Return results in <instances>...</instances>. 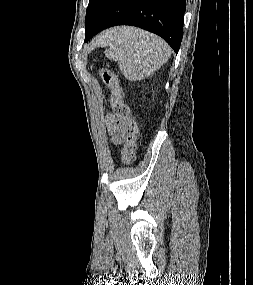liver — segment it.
Returning a JSON list of instances; mask_svg holds the SVG:
<instances>
[{"label": "liver", "instance_id": "liver-1", "mask_svg": "<svg viewBox=\"0 0 253 285\" xmlns=\"http://www.w3.org/2000/svg\"><path fill=\"white\" fill-rule=\"evenodd\" d=\"M118 30H119V28L113 29V30H111V31L106 32V33L98 40V42H101L102 39H103L105 36L111 35V34H113L114 32H117Z\"/></svg>", "mask_w": 253, "mask_h": 285}]
</instances>
